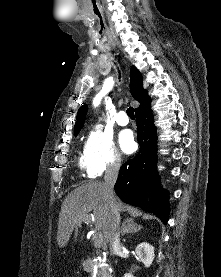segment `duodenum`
Masks as SVG:
<instances>
[{"instance_id": "obj_1", "label": "duodenum", "mask_w": 221, "mask_h": 277, "mask_svg": "<svg viewBox=\"0 0 221 277\" xmlns=\"http://www.w3.org/2000/svg\"><path fill=\"white\" fill-rule=\"evenodd\" d=\"M94 264V259L93 258H88L85 262H84V268L86 270H89L92 265Z\"/></svg>"}]
</instances>
